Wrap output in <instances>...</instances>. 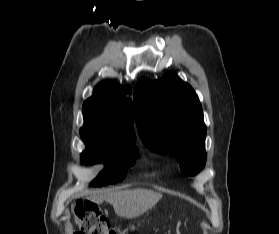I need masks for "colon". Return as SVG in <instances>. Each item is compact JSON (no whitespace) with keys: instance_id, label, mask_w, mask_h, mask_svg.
Here are the masks:
<instances>
[{"instance_id":"1","label":"colon","mask_w":279,"mask_h":234,"mask_svg":"<svg viewBox=\"0 0 279 234\" xmlns=\"http://www.w3.org/2000/svg\"><path fill=\"white\" fill-rule=\"evenodd\" d=\"M76 224L77 231L74 234H118L101 209L91 202H84L77 207Z\"/></svg>"}]
</instances>
